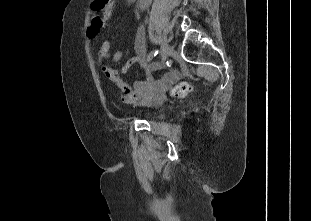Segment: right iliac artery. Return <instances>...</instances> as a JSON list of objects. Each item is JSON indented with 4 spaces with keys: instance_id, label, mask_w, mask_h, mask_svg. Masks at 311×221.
Listing matches in <instances>:
<instances>
[{
    "instance_id": "obj_1",
    "label": "right iliac artery",
    "mask_w": 311,
    "mask_h": 221,
    "mask_svg": "<svg viewBox=\"0 0 311 221\" xmlns=\"http://www.w3.org/2000/svg\"><path fill=\"white\" fill-rule=\"evenodd\" d=\"M157 54L158 50L151 51L147 57V63H149Z\"/></svg>"
}]
</instances>
